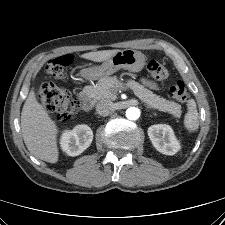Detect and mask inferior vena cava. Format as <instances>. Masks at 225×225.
Returning a JSON list of instances; mask_svg holds the SVG:
<instances>
[{"label": "inferior vena cava", "mask_w": 225, "mask_h": 225, "mask_svg": "<svg viewBox=\"0 0 225 225\" xmlns=\"http://www.w3.org/2000/svg\"><path fill=\"white\" fill-rule=\"evenodd\" d=\"M114 110V105L111 101H100L96 104V111L101 116H108Z\"/></svg>", "instance_id": "1"}]
</instances>
